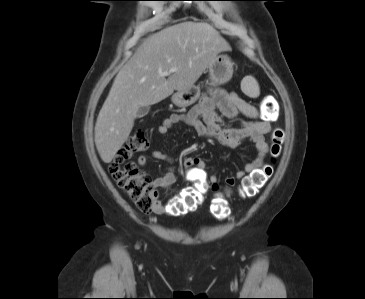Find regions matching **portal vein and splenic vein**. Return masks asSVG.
I'll use <instances>...</instances> for the list:
<instances>
[{
  "label": "portal vein and splenic vein",
  "instance_id": "1",
  "mask_svg": "<svg viewBox=\"0 0 365 299\" xmlns=\"http://www.w3.org/2000/svg\"><path fill=\"white\" fill-rule=\"evenodd\" d=\"M176 71H177V68L176 67H173V68L169 69L168 71L160 72V76L166 77V76H168V75H170V74H172V73H174Z\"/></svg>",
  "mask_w": 365,
  "mask_h": 299
}]
</instances>
